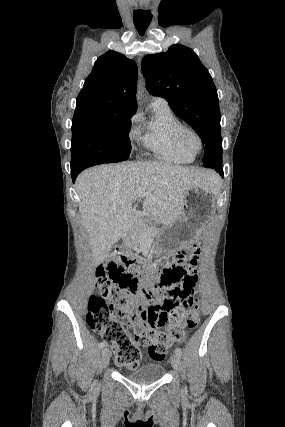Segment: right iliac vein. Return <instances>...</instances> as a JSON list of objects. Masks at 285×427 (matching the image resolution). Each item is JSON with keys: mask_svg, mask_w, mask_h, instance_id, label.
I'll list each match as a JSON object with an SVG mask.
<instances>
[{"mask_svg": "<svg viewBox=\"0 0 285 427\" xmlns=\"http://www.w3.org/2000/svg\"><path fill=\"white\" fill-rule=\"evenodd\" d=\"M110 350L108 348L103 349L102 351V366L103 368H106L110 361Z\"/></svg>", "mask_w": 285, "mask_h": 427, "instance_id": "63e3f726", "label": "right iliac vein"}]
</instances>
